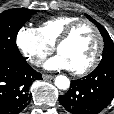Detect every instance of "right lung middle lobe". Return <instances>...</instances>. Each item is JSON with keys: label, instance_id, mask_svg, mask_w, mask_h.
Masks as SVG:
<instances>
[{"label": "right lung middle lobe", "instance_id": "1", "mask_svg": "<svg viewBox=\"0 0 114 114\" xmlns=\"http://www.w3.org/2000/svg\"><path fill=\"white\" fill-rule=\"evenodd\" d=\"M35 10L10 9L0 14V59L19 60L24 57L16 45V36L23 24Z\"/></svg>", "mask_w": 114, "mask_h": 114}]
</instances>
